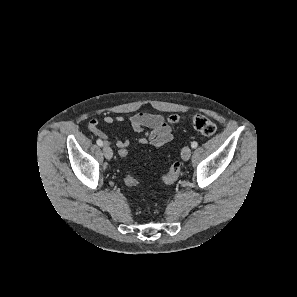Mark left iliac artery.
<instances>
[{
	"instance_id": "left-iliac-artery-1",
	"label": "left iliac artery",
	"mask_w": 297,
	"mask_h": 297,
	"mask_svg": "<svg viewBox=\"0 0 297 297\" xmlns=\"http://www.w3.org/2000/svg\"><path fill=\"white\" fill-rule=\"evenodd\" d=\"M198 146V143L196 142V141H193L192 143H191V147L192 148H196Z\"/></svg>"
}]
</instances>
